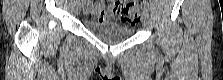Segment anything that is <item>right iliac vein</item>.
Wrapping results in <instances>:
<instances>
[{
	"label": "right iliac vein",
	"mask_w": 223,
	"mask_h": 80,
	"mask_svg": "<svg viewBox=\"0 0 223 80\" xmlns=\"http://www.w3.org/2000/svg\"><path fill=\"white\" fill-rule=\"evenodd\" d=\"M81 9H82V4L78 2L75 7L76 13L79 14L81 12Z\"/></svg>",
	"instance_id": "1"
}]
</instances>
